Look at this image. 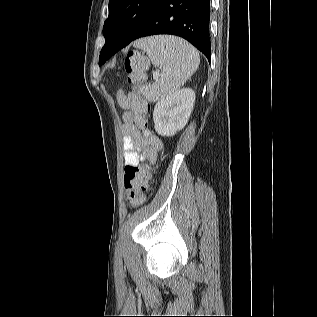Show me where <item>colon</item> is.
<instances>
[{"label":"colon","instance_id":"colon-1","mask_svg":"<svg viewBox=\"0 0 317 317\" xmlns=\"http://www.w3.org/2000/svg\"><path fill=\"white\" fill-rule=\"evenodd\" d=\"M124 68L128 74V81L132 85L138 84L144 79L146 60L137 51H130L124 58ZM149 111L147 107L140 118L139 124L144 126L146 115ZM147 186V173L138 166H126L124 172V187L126 200L132 207H137L144 202V191Z\"/></svg>","mask_w":317,"mask_h":317}]
</instances>
